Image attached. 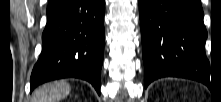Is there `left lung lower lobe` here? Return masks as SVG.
<instances>
[{"instance_id": "1", "label": "left lung lower lobe", "mask_w": 221, "mask_h": 102, "mask_svg": "<svg viewBox=\"0 0 221 102\" xmlns=\"http://www.w3.org/2000/svg\"><path fill=\"white\" fill-rule=\"evenodd\" d=\"M145 87L161 77L209 85L200 0H139Z\"/></svg>"}]
</instances>
